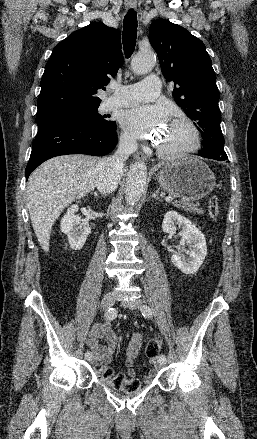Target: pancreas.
Returning <instances> with one entry per match:
<instances>
[{
    "mask_svg": "<svg viewBox=\"0 0 257 439\" xmlns=\"http://www.w3.org/2000/svg\"><path fill=\"white\" fill-rule=\"evenodd\" d=\"M173 205L182 208L186 212H195L198 214H203V209L199 208V204H194L190 201H175L173 202Z\"/></svg>",
    "mask_w": 257,
    "mask_h": 439,
    "instance_id": "obj_1",
    "label": "pancreas"
}]
</instances>
